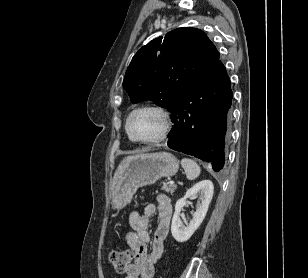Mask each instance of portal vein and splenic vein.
Masks as SVG:
<instances>
[{
  "instance_id": "1",
  "label": "portal vein and splenic vein",
  "mask_w": 308,
  "mask_h": 278,
  "mask_svg": "<svg viewBox=\"0 0 308 278\" xmlns=\"http://www.w3.org/2000/svg\"><path fill=\"white\" fill-rule=\"evenodd\" d=\"M169 184H170V185H174V181H170Z\"/></svg>"
}]
</instances>
